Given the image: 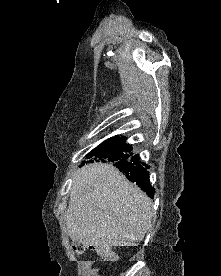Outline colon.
Instances as JSON below:
<instances>
[{
  "label": "colon",
  "mask_w": 221,
  "mask_h": 276,
  "mask_svg": "<svg viewBox=\"0 0 221 276\" xmlns=\"http://www.w3.org/2000/svg\"><path fill=\"white\" fill-rule=\"evenodd\" d=\"M97 254L102 258V260L106 263H113L116 260V255L114 252L108 247H94ZM73 250L77 254H82L85 252L86 247L82 245H77L73 247Z\"/></svg>",
  "instance_id": "1"
}]
</instances>
